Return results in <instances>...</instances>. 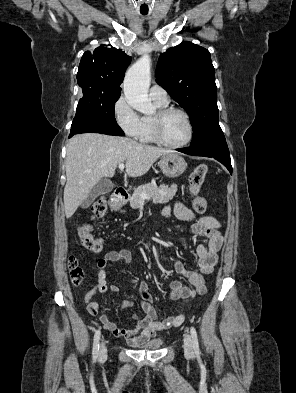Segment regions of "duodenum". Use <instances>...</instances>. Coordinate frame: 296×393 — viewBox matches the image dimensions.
Returning a JSON list of instances; mask_svg holds the SVG:
<instances>
[{
	"mask_svg": "<svg viewBox=\"0 0 296 393\" xmlns=\"http://www.w3.org/2000/svg\"><path fill=\"white\" fill-rule=\"evenodd\" d=\"M128 198V192L123 187H118L111 198V206L118 207L122 202Z\"/></svg>",
	"mask_w": 296,
	"mask_h": 393,
	"instance_id": "obj_1",
	"label": "duodenum"
}]
</instances>
